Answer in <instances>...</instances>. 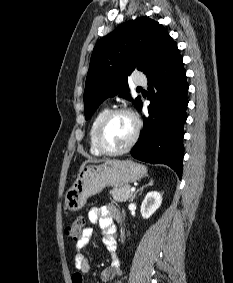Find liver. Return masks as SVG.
Wrapping results in <instances>:
<instances>
[{
  "mask_svg": "<svg viewBox=\"0 0 233 283\" xmlns=\"http://www.w3.org/2000/svg\"><path fill=\"white\" fill-rule=\"evenodd\" d=\"M108 161V160H107ZM89 162H98V161H96V160H88V161H85L82 165H81V167H80V170L87 164V163H89Z\"/></svg>",
  "mask_w": 233,
  "mask_h": 283,
  "instance_id": "6515ba94",
  "label": "liver"
}]
</instances>
